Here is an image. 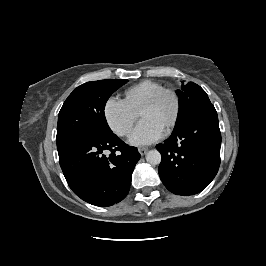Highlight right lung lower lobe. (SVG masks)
Wrapping results in <instances>:
<instances>
[{"instance_id": "right-lung-lower-lobe-1", "label": "right lung lower lobe", "mask_w": 266, "mask_h": 266, "mask_svg": "<svg viewBox=\"0 0 266 266\" xmlns=\"http://www.w3.org/2000/svg\"><path fill=\"white\" fill-rule=\"evenodd\" d=\"M110 151L109 156L103 153ZM59 154V163L72 191L100 207L111 206L128 194L137 148L125 144L112 131L74 143Z\"/></svg>"}]
</instances>
